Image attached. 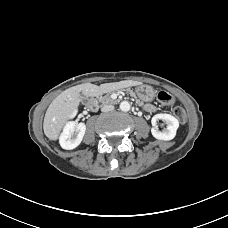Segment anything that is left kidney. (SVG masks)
Here are the masks:
<instances>
[{"mask_svg":"<svg viewBox=\"0 0 228 228\" xmlns=\"http://www.w3.org/2000/svg\"><path fill=\"white\" fill-rule=\"evenodd\" d=\"M158 120H162L167 124V128L164 129L163 131H160L157 128L156 124ZM151 123L153 126L151 129V133L153 137L163 141L172 140L175 137L177 129L179 127L178 120L174 116L170 114H165V113L154 115L152 117Z\"/></svg>","mask_w":228,"mask_h":228,"instance_id":"5707ae66","label":"left kidney"}]
</instances>
